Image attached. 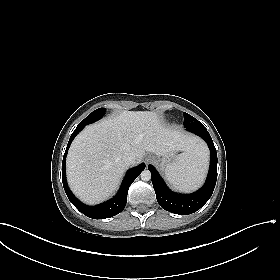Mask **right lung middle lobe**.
I'll use <instances>...</instances> for the list:
<instances>
[{
    "label": "right lung middle lobe",
    "mask_w": 280,
    "mask_h": 280,
    "mask_svg": "<svg viewBox=\"0 0 280 280\" xmlns=\"http://www.w3.org/2000/svg\"><path fill=\"white\" fill-rule=\"evenodd\" d=\"M105 113V108H99L95 111H93L90 115H88L84 120H82L79 125L86 126L88 124H91L97 120H99L103 114Z\"/></svg>",
    "instance_id": "obj_1"
}]
</instances>
